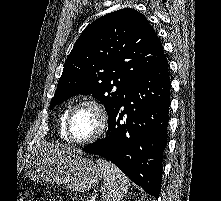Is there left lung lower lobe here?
Segmentation results:
<instances>
[{
    "label": "left lung lower lobe",
    "instance_id": "1",
    "mask_svg": "<svg viewBox=\"0 0 221 201\" xmlns=\"http://www.w3.org/2000/svg\"><path fill=\"white\" fill-rule=\"evenodd\" d=\"M169 105L165 57L125 95L108 121L106 137L82 150L110 160L145 192L158 198Z\"/></svg>",
    "mask_w": 221,
    "mask_h": 201
}]
</instances>
